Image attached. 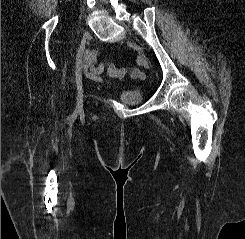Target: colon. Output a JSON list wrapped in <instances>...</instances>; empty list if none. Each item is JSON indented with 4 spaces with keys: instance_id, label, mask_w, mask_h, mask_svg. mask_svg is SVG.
<instances>
[{
    "instance_id": "obj_1",
    "label": "colon",
    "mask_w": 245,
    "mask_h": 239,
    "mask_svg": "<svg viewBox=\"0 0 245 239\" xmlns=\"http://www.w3.org/2000/svg\"><path fill=\"white\" fill-rule=\"evenodd\" d=\"M107 72L111 77H120L126 73V70L109 63L107 64ZM129 72L133 78L144 79V74L138 69H131Z\"/></svg>"
}]
</instances>
